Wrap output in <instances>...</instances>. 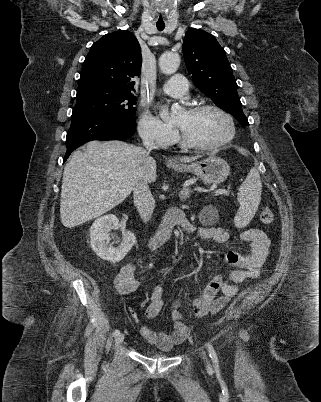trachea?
Returning a JSON list of instances; mask_svg holds the SVG:
<instances>
[{
    "mask_svg": "<svg viewBox=\"0 0 321 402\" xmlns=\"http://www.w3.org/2000/svg\"><path fill=\"white\" fill-rule=\"evenodd\" d=\"M156 27L159 31H162L165 28V24H156Z\"/></svg>",
    "mask_w": 321,
    "mask_h": 402,
    "instance_id": "obj_1",
    "label": "trachea"
}]
</instances>
